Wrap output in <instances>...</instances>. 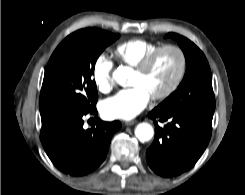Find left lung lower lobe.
<instances>
[{
  "label": "left lung lower lobe",
  "mask_w": 245,
  "mask_h": 195,
  "mask_svg": "<svg viewBox=\"0 0 245 195\" xmlns=\"http://www.w3.org/2000/svg\"><path fill=\"white\" fill-rule=\"evenodd\" d=\"M214 112L159 109L149 113L155 139L146 153L150 168L160 176L173 177L191 169L206 149ZM167 122L164 127L157 123Z\"/></svg>",
  "instance_id": "0a47b994"
}]
</instances>
